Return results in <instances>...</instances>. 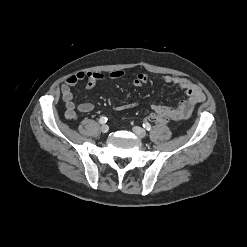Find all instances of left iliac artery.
<instances>
[{"label":"left iliac artery","mask_w":247,"mask_h":247,"mask_svg":"<svg viewBox=\"0 0 247 247\" xmlns=\"http://www.w3.org/2000/svg\"><path fill=\"white\" fill-rule=\"evenodd\" d=\"M143 127L148 131L151 130V124L149 122H144Z\"/></svg>","instance_id":"obj_1"}]
</instances>
